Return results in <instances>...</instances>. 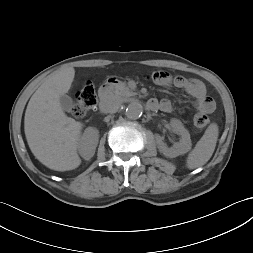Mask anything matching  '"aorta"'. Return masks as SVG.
Wrapping results in <instances>:
<instances>
[{
	"mask_svg": "<svg viewBox=\"0 0 253 253\" xmlns=\"http://www.w3.org/2000/svg\"><path fill=\"white\" fill-rule=\"evenodd\" d=\"M143 114V106L139 102H131L127 105L125 115L132 120L139 119Z\"/></svg>",
	"mask_w": 253,
	"mask_h": 253,
	"instance_id": "1",
	"label": "aorta"
}]
</instances>
